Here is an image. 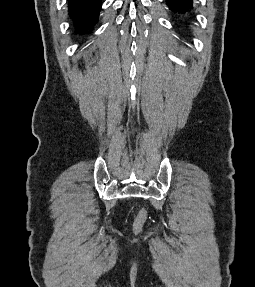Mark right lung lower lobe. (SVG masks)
<instances>
[{"instance_id":"obj_1","label":"right lung lower lobe","mask_w":255,"mask_h":287,"mask_svg":"<svg viewBox=\"0 0 255 287\" xmlns=\"http://www.w3.org/2000/svg\"><path fill=\"white\" fill-rule=\"evenodd\" d=\"M69 17L78 32L90 31L97 23L101 0H68Z\"/></svg>"}]
</instances>
